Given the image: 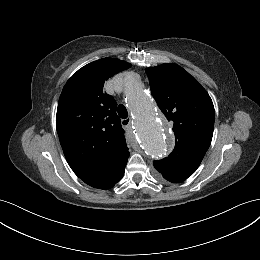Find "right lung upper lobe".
<instances>
[{"mask_svg":"<svg viewBox=\"0 0 260 260\" xmlns=\"http://www.w3.org/2000/svg\"><path fill=\"white\" fill-rule=\"evenodd\" d=\"M131 66L103 58L79 69L59 98L56 127L66 160L86 184L104 189L124 174L129 157L117 103L103 91L104 83Z\"/></svg>","mask_w":260,"mask_h":260,"instance_id":"right-lung-upper-lobe-1","label":"right lung upper lobe"}]
</instances>
